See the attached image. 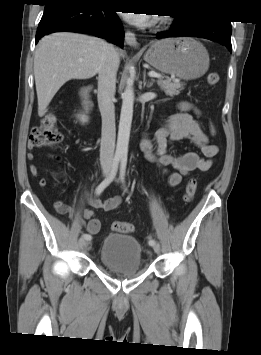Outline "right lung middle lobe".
Wrapping results in <instances>:
<instances>
[{
	"mask_svg": "<svg viewBox=\"0 0 261 355\" xmlns=\"http://www.w3.org/2000/svg\"><path fill=\"white\" fill-rule=\"evenodd\" d=\"M98 0H88V2H93V3H95V2H97Z\"/></svg>",
	"mask_w": 261,
	"mask_h": 355,
	"instance_id": "1",
	"label": "right lung middle lobe"
}]
</instances>
